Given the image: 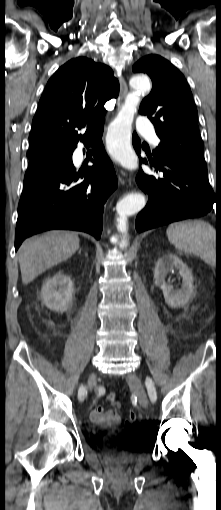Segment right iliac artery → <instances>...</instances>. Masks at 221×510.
<instances>
[{
	"mask_svg": "<svg viewBox=\"0 0 221 510\" xmlns=\"http://www.w3.org/2000/svg\"><path fill=\"white\" fill-rule=\"evenodd\" d=\"M85 393H86V390H85V387L84 386H81L79 388V391H78V398L80 401H83L84 398H85Z\"/></svg>",
	"mask_w": 221,
	"mask_h": 510,
	"instance_id": "1",
	"label": "right iliac artery"
}]
</instances>
